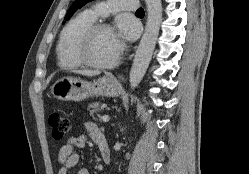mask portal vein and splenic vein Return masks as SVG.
Here are the masks:
<instances>
[{"instance_id":"portal-vein-and-splenic-vein-1","label":"portal vein and splenic vein","mask_w":249,"mask_h":174,"mask_svg":"<svg viewBox=\"0 0 249 174\" xmlns=\"http://www.w3.org/2000/svg\"><path fill=\"white\" fill-rule=\"evenodd\" d=\"M109 116L108 115H103L102 116V120L104 121V122H108L109 121Z\"/></svg>"}]
</instances>
